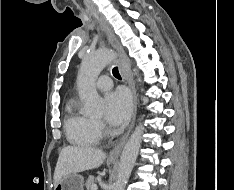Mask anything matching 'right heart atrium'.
<instances>
[{"label": "right heart atrium", "mask_w": 234, "mask_h": 190, "mask_svg": "<svg viewBox=\"0 0 234 190\" xmlns=\"http://www.w3.org/2000/svg\"><path fill=\"white\" fill-rule=\"evenodd\" d=\"M95 125L100 133H102L105 130V126L101 121L96 120Z\"/></svg>", "instance_id": "right-heart-atrium-1"}]
</instances>
